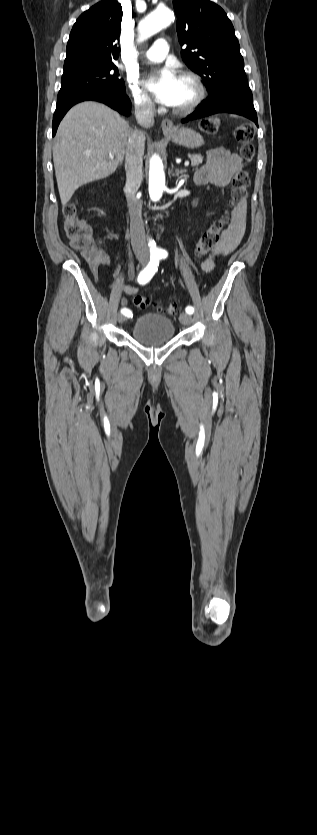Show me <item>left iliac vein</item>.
I'll list each match as a JSON object with an SVG mask.
<instances>
[{"mask_svg":"<svg viewBox=\"0 0 317 835\" xmlns=\"http://www.w3.org/2000/svg\"><path fill=\"white\" fill-rule=\"evenodd\" d=\"M179 320L184 326H188L192 323V318L188 313H181L179 316Z\"/></svg>","mask_w":317,"mask_h":835,"instance_id":"obj_1","label":"left iliac vein"}]
</instances>
